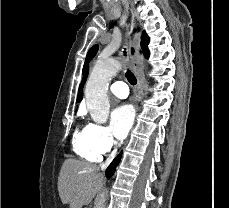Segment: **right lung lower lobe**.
Listing matches in <instances>:
<instances>
[{
	"label": "right lung lower lobe",
	"instance_id": "1",
	"mask_svg": "<svg viewBox=\"0 0 229 208\" xmlns=\"http://www.w3.org/2000/svg\"><path fill=\"white\" fill-rule=\"evenodd\" d=\"M121 159V153L120 155H118L113 161L112 163L108 166L107 170H106V177L109 179L115 172L116 167L119 164V161Z\"/></svg>",
	"mask_w": 229,
	"mask_h": 208
}]
</instances>
